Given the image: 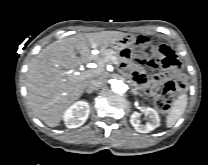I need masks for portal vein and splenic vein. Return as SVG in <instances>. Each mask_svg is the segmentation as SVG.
I'll return each instance as SVG.
<instances>
[{
  "instance_id": "portal-vein-and-splenic-vein-1",
  "label": "portal vein and splenic vein",
  "mask_w": 208,
  "mask_h": 165,
  "mask_svg": "<svg viewBox=\"0 0 208 165\" xmlns=\"http://www.w3.org/2000/svg\"><path fill=\"white\" fill-rule=\"evenodd\" d=\"M76 75H79V73H75ZM95 74H98V69H92V70H87L85 72L82 73V75L86 78L88 77H92Z\"/></svg>"
}]
</instances>
